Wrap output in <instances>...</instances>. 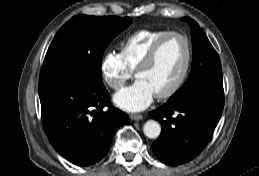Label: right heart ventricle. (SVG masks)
<instances>
[{
    "label": "right heart ventricle",
    "instance_id": "e07e8e85",
    "mask_svg": "<svg viewBox=\"0 0 259 176\" xmlns=\"http://www.w3.org/2000/svg\"><path fill=\"white\" fill-rule=\"evenodd\" d=\"M167 32L165 29H142L128 36L120 51L126 66L134 71L152 45Z\"/></svg>",
    "mask_w": 259,
    "mask_h": 176
}]
</instances>
